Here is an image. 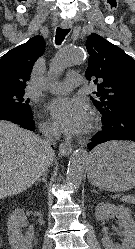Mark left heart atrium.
<instances>
[{"mask_svg":"<svg viewBox=\"0 0 135 249\" xmlns=\"http://www.w3.org/2000/svg\"><path fill=\"white\" fill-rule=\"evenodd\" d=\"M48 112L56 126L69 134H79L88 125V108L80 98H57L48 105Z\"/></svg>","mask_w":135,"mask_h":249,"instance_id":"39dd6f15","label":"left heart atrium"}]
</instances>
